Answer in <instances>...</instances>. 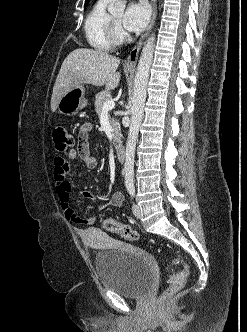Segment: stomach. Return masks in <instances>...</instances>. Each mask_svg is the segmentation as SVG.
<instances>
[{
    "label": "stomach",
    "instance_id": "1",
    "mask_svg": "<svg viewBox=\"0 0 247 332\" xmlns=\"http://www.w3.org/2000/svg\"><path fill=\"white\" fill-rule=\"evenodd\" d=\"M127 71H131V69H127ZM86 105L85 87L83 84H80L60 98L57 109L59 113L70 116L77 114Z\"/></svg>",
    "mask_w": 247,
    "mask_h": 332
}]
</instances>
